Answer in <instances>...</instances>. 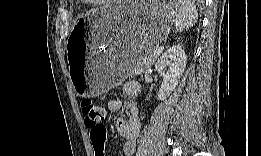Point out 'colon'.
<instances>
[{"instance_id": "obj_1", "label": "colon", "mask_w": 261, "mask_h": 156, "mask_svg": "<svg viewBox=\"0 0 261 156\" xmlns=\"http://www.w3.org/2000/svg\"><path fill=\"white\" fill-rule=\"evenodd\" d=\"M81 111L84 115V123L90 130V139L96 156H100L104 150L107 138L106 129L102 125L104 109L90 99L82 100Z\"/></svg>"}]
</instances>
